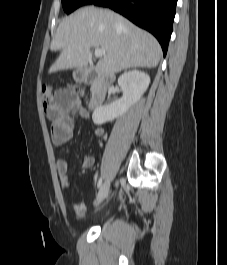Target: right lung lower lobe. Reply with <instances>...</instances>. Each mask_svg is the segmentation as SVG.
Instances as JSON below:
<instances>
[{"instance_id":"98d812e1","label":"right lung lower lobe","mask_w":227,"mask_h":265,"mask_svg":"<svg viewBox=\"0 0 227 265\" xmlns=\"http://www.w3.org/2000/svg\"><path fill=\"white\" fill-rule=\"evenodd\" d=\"M177 0H94L91 4L109 7L152 33L168 49Z\"/></svg>"}]
</instances>
